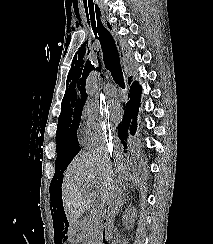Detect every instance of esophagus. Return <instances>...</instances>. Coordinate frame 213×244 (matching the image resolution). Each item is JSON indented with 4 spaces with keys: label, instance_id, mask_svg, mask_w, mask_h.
I'll list each match as a JSON object with an SVG mask.
<instances>
[{
    "label": "esophagus",
    "instance_id": "obj_1",
    "mask_svg": "<svg viewBox=\"0 0 213 244\" xmlns=\"http://www.w3.org/2000/svg\"><path fill=\"white\" fill-rule=\"evenodd\" d=\"M118 48H120L121 50H123V47H119V46H118ZM120 53H121V51H120ZM124 73H125V75H126V82H127V85L129 86V84H130V74H129V72H128V70H127L126 68H124Z\"/></svg>",
    "mask_w": 213,
    "mask_h": 244
}]
</instances>
